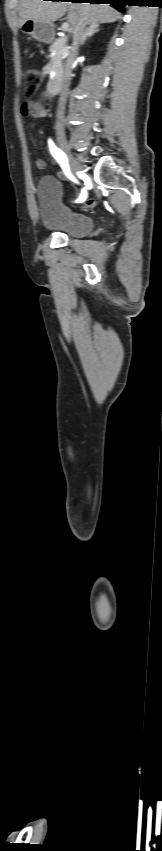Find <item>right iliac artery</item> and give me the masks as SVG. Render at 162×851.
<instances>
[{
  "label": "right iliac artery",
  "instance_id": "82829eb1",
  "mask_svg": "<svg viewBox=\"0 0 162 851\" xmlns=\"http://www.w3.org/2000/svg\"><path fill=\"white\" fill-rule=\"evenodd\" d=\"M48 144H49V148H50V152H51L52 156L57 160V162L61 166L62 170L64 171L65 175L69 179L74 180V177L70 172V168H69V165H68V159H67V156L65 155V153L61 149H59L53 143V141L51 139L48 140ZM85 198H86V192L83 190L81 192V196L77 200V202H82Z\"/></svg>",
  "mask_w": 162,
  "mask_h": 851
}]
</instances>
